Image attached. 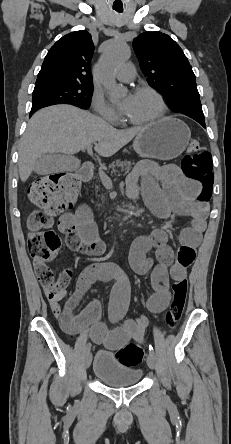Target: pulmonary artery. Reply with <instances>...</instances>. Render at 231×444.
<instances>
[{"label":"pulmonary artery","mask_w":231,"mask_h":444,"mask_svg":"<svg viewBox=\"0 0 231 444\" xmlns=\"http://www.w3.org/2000/svg\"><path fill=\"white\" fill-rule=\"evenodd\" d=\"M136 71L132 63H124L116 72V77L121 82H130L135 78Z\"/></svg>","instance_id":"obj_1"}]
</instances>
